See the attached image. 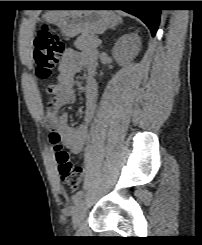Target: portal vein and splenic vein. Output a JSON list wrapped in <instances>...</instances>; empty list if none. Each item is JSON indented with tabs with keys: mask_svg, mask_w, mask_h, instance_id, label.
Instances as JSON below:
<instances>
[{
	"mask_svg": "<svg viewBox=\"0 0 202 245\" xmlns=\"http://www.w3.org/2000/svg\"><path fill=\"white\" fill-rule=\"evenodd\" d=\"M98 42H99V44H102V40L101 39H98Z\"/></svg>",
	"mask_w": 202,
	"mask_h": 245,
	"instance_id": "18ae733b",
	"label": "portal vein and splenic vein"
}]
</instances>
